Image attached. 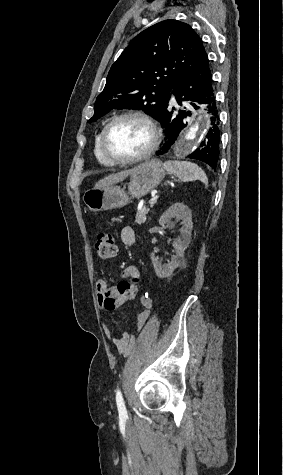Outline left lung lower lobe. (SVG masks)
Segmentation results:
<instances>
[{
    "mask_svg": "<svg viewBox=\"0 0 283 475\" xmlns=\"http://www.w3.org/2000/svg\"><path fill=\"white\" fill-rule=\"evenodd\" d=\"M208 62L209 60L184 74L174 84L171 91L175 94L179 105H182L181 101H184L192 105L195 109H198V104H207L208 113L211 115V128L205 140L200 143L199 147L191 153L189 157L206 162L212 168H215L220 152V129L213 81ZM169 100L170 93L165 110L159 117V120L162 122V127L165 129V141L156 152V155H161L171 150L180 131L187 126L184 122V118L191 116V113L185 110H180L179 114H175L173 111L175 108L169 106Z\"/></svg>",
    "mask_w": 283,
    "mask_h": 475,
    "instance_id": "left-lung-lower-lobe-1",
    "label": "left lung lower lobe"
}]
</instances>
